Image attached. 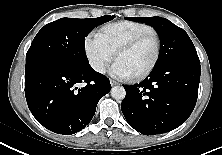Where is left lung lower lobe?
Here are the masks:
<instances>
[{
  "instance_id": "left-lung-lower-lobe-1",
  "label": "left lung lower lobe",
  "mask_w": 222,
  "mask_h": 155,
  "mask_svg": "<svg viewBox=\"0 0 222 155\" xmlns=\"http://www.w3.org/2000/svg\"><path fill=\"white\" fill-rule=\"evenodd\" d=\"M200 71V63L174 61L153 68L139 84L123 85L121 109L128 124L144 135L179 127L195 107Z\"/></svg>"
}]
</instances>
